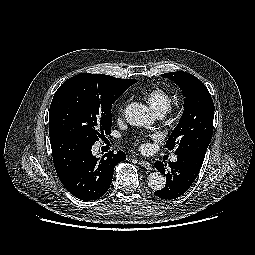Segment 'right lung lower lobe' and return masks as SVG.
<instances>
[{
    "label": "right lung lower lobe",
    "mask_w": 255,
    "mask_h": 255,
    "mask_svg": "<svg viewBox=\"0 0 255 255\" xmlns=\"http://www.w3.org/2000/svg\"><path fill=\"white\" fill-rule=\"evenodd\" d=\"M53 163L64 187L84 201L103 196L111 185L114 167L126 160L123 151L102 158L92 155L93 143L67 134L50 137Z\"/></svg>",
    "instance_id": "1"
}]
</instances>
